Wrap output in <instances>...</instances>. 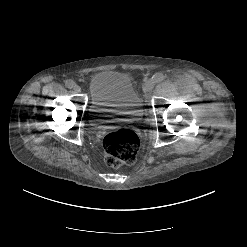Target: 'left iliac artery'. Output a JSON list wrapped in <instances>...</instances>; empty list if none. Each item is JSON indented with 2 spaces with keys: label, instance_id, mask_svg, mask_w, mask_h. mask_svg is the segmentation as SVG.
Returning a JSON list of instances; mask_svg holds the SVG:
<instances>
[{
  "label": "left iliac artery",
  "instance_id": "1",
  "mask_svg": "<svg viewBox=\"0 0 247 247\" xmlns=\"http://www.w3.org/2000/svg\"><path fill=\"white\" fill-rule=\"evenodd\" d=\"M164 80V75L162 73H156L153 77H152V81L155 83L161 82Z\"/></svg>",
  "mask_w": 247,
  "mask_h": 247
}]
</instances>
